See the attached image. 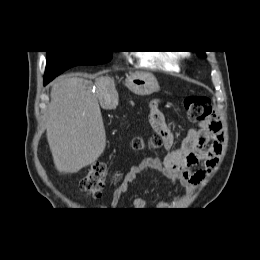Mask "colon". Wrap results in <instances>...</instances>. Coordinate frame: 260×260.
<instances>
[{
  "label": "colon",
  "instance_id": "colon-1",
  "mask_svg": "<svg viewBox=\"0 0 260 260\" xmlns=\"http://www.w3.org/2000/svg\"><path fill=\"white\" fill-rule=\"evenodd\" d=\"M184 108L190 121H204L214 116L210 99L204 96H189L184 100ZM164 136L160 133L153 135L148 144L154 148L163 146ZM146 143L141 138L133 140L135 149L145 148ZM108 175L107 165L104 161H97L91 165L86 175L81 179L79 187L91 197H99L105 188Z\"/></svg>",
  "mask_w": 260,
  "mask_h": 260
}]
</instances>
